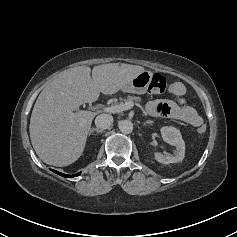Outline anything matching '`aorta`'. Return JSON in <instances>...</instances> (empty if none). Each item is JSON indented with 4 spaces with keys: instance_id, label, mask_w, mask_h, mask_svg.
Masks as SVG:
<instances>
[{
    "instance_id": "obj_1",
    "label": "aorta",
    "mask_w": 237,
    "mask_h": 237,
    "mask_svg": "<svg viewBox=\"0 0 237 237\" xmlns=\"http://www.w3.org/2000/svg\"><path fill=\"white\" fill-rule=\"evenodd\" d=\"M119 129L123 134H130L133 131V123L129 120L119 122Z\"/></svg>"
}]
</instances>
